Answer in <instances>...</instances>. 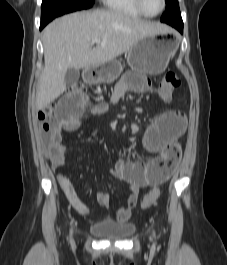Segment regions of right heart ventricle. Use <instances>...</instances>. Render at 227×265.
I'll list each match as a JSON object with an SVG mask.
<instances>
[{
	"instance_id": "right-heart-ventricle-1",
	"label": "right heart ventricle",
	"mask_w": 227,
	"mask_h": 265,
	"mask_svg": "<svg viewBox=\"0 0 227 265\" xmlns=\"http://www.w3.org/2000/svg\"><path fill=\"white\" fill-rule=\"evenodd\" d=\"M102 2L110 11L135 18L143 16L137 9L134 0H102Z\"/></svg>"
}]
</instances>
